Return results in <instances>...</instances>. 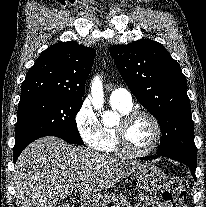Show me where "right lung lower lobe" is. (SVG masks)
<instances>
[{"instance_id":"right-lung-lower-lobe-1","label":"right lung lower lobe","mask_w":206,"mask_h":207,"mask_svg":"<svg viewBox=\"0 0 206 207\" xmlns=\"http://www.w3.org/2000/svg\"><path fill=\"white\" fill-rule=\"evenodd\" d=\"M24 148H25V147L20 148V149H17V150H13V161H14V163L16 162L18 156L20 155V153L22 152V150H23Z\"/></svg>"}]
</instances>
